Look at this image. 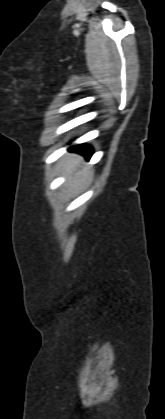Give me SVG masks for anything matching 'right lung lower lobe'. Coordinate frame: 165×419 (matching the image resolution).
<instances>
[{"instance_id": "1", "label": "right lung lower lobe", "mask_w": 165, "mask_h": 419, "mask_svg": "<svg viewBox=\"0 0 165 419\" xmlns=\"http://www.w3.org/2000/svg\"><path fill=\"white\" fill-rule=\"evenodd\" d=\"M72 150L75 152L81 153L87 159H89L91 155L93 154L92 148L88 145H77V146L72 147Z\"/></svg>"}]
</instances>
